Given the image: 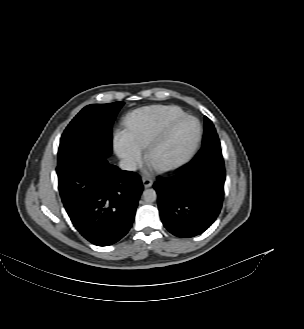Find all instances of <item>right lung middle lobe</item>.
<instances>
[{
	"label": "right lung middle lobe",
	"instance_id": "obj_1",
	"mask_svg": "<svg viewBox=\"0 0 304 329\" xmlns=\"http://www.w3.org/2000/svg\"><path fill=\"white\" fill-rule=\"evenodd\" d=\"M123 105L114 102L84 107L62 134L58 165L85 155L108 157L112 153V124Z\"/></svg>",
	"mask_w": 304,
	"mask_h": 329
}]
</instances>
